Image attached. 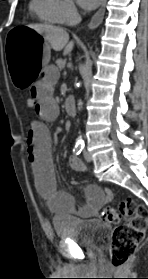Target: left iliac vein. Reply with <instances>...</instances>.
<instances>
[{
  "instance_id": "left-iliac-vein-1",
  "label": "left iliac vein",
  "mask_w": 148,
  "mask_h": 279,
  "mask_svg": "<svg viewBox=\"0 0 148 279\" xmlns=\"http://www.w3.org/2000/svg\"><path fill=\"white\" fill-rule=\"evenodd\" d=\"M83 156L87 162H91V156L86 150H84Z\"/></svg>"
}]
</instances>
